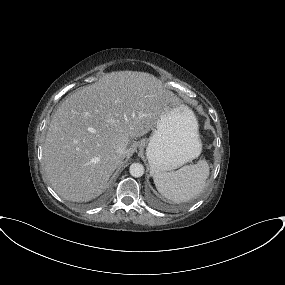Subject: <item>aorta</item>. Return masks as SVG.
Here are the masks:
<instances>
[{"instance_id": "1", "label": "aorta", "mask_w": 285, "mask_h": 285, "mask_svg": "<svg viewBox=\"0 0 285 285\" xmlns=\"http://www.w3.org/2000/svg\"><path fill=\"white\" fill-rule=\"evenodd\" d=\"M129 172L133 177L139 178L144 174V166L141 163H132Z\"/></svg>"}]
</instances>
